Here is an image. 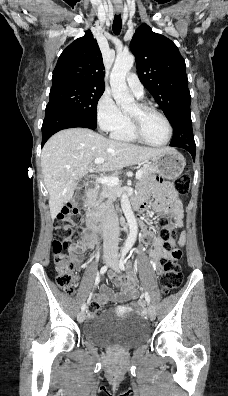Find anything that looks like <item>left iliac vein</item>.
<instances>
[{"instance_id":"1","label":"left iliac vein","mask_w":228,"mask_h":396,"mask_svg":"<svg viewBox=\"0 0 228 396\" xmlns=\"http://www.w3.org/2000/svg\"><path fill=\"white\" fill-rule=\"evenodd\" d=\"M111 268L113 270H115L116 272H119V261H118L116 256L114 257V259H113V261L111 263ZM148 316H149L150 320H152V321L155 319L156 311H155L153 306H149Z\"/></svg>"}]
</instances>
